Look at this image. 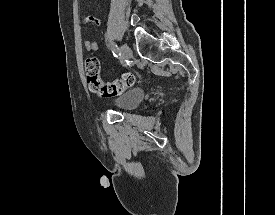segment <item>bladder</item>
<instances>
[{
  "label": "bladder",
  "mask_w": 275,
  "mask_h": 215,
  "mask_svg": "<svg viewBox=\"0 0 275 215\" xmlns=\"http://www.w3.org/2000/svg\"><path fill=\"white\" fill-rule=\"evenodd\" d=\"M144 93L141 89L126 91L117 96L114 103L123 111L136 108L142 101Z\"/></svg>",
  "instance_id": "bladder-1"
}]
</instances>
